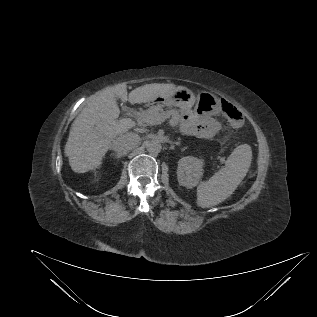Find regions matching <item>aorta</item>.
<instances>
[{"label":"aorta","instance_id":"762f6f07","mask_svg":"<svg viewBox=\"0 0 317 317\" xmlns=\"http://www.w3.org/2000/svg\"><path fill=\"white\" fill-rule=\"evenodd\" d=\"M161 149H162V146L158 140H149L146 142V150L151 155H158Z\"/></svg>","mask_w":317,"mask_h":317}]
</instances>
